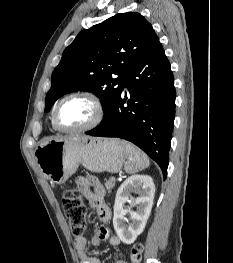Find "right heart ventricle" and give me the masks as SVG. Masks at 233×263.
I'll use <instances>...</instances> for the list:
<instances>
[{
  "instance_id": "1",
  "label": "right heart ventricle",
  "mask_w": 233,
  "mask_h": 263,
  "mask_svg": "<svg viewBox=\"0 0 233 263\" xmlns=\"http://www.w3.org/2000/svg\"><path fill=\"white\" fill-rule=\"evenodd\" d=\"M52 115H53V114H52ZM51 124H52V127H53L54 129H56L55 126L53 125L52 119H51Z\"/></svg>"
}]
</instances>
